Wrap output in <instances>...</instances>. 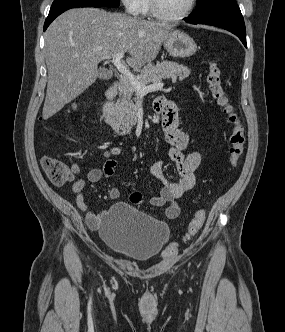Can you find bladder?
Here are the masks:
<instances>
[{"instance_id":"1","label":"bladder","mask_w":285,"mask_h":332,"mask_svg":"<svg viewBox=\"0 0 285 332\" xmlns=\"http://www.w3.org/2000/svg\"><path fill=\"white\" fill-rule=\"evenodd\" d=\"M99 233L112 251L137 262L159 255L170 236L165 223L128 203H116L106 210Z\"/></svg>"}]
</instances>
